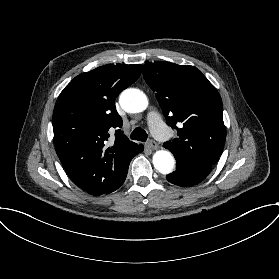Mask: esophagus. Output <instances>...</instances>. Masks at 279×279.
<instances>
[{"label": "esophagus", "instance_id": "esophagus-1", "mask_svg": "<svg viewBox=\"0 0 279 279\" xmlns=\"http://www.w3.org/2000/svg\"><path fill=\"white\" fill-rule=\"evenodd\" d=\"M148 146L151 148V149H157L158 148V144H157V142L156 141H154V140H149L148 141Z\"/></svg>", "mask_w": 279, "mask_h": 279}]
</instances>
